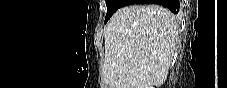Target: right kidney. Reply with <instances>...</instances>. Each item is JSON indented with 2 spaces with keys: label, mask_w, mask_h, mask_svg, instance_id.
<instances>
[{
  "label": "right kidney",
  "mask_w": 227,
  "mask_h": 88,
  "mask_svg": "<svg viewBox=\"0 0 227 88\" xmlns=\"http://www.w3.org/2000/svg\"><path fill=\"white\" fill-rule=\"evenodd\" d=\"M148 88H153V86H149Z\"/></svg>",
  "instance_id": "right-kidney-1"
}]
</instances>
